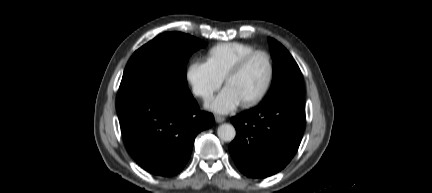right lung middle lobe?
I'll return each instance as SVG.
<instances>
[{"label":"right lung middle lobe","instance_id":"right-lung-middle-lobe-1","mask_svg":"<svg viewBox=\"0 0 432 193\" xmlns=\"http://www.w3.org/2000/svg\"><path fill=\"white\" fill-rule=\"evenodd\" d=\"M204 46L202 40L180 32L158 35L130 58L119 96L140 88H158L178 96L190 94L186 65L191 54Z\"/></svg>","mask_w":432,"mask_h":193}]
</instances>
